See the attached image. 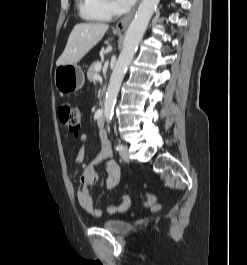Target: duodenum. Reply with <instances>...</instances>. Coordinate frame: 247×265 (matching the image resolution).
Instances as JSON below:
<instances>
[{
  "label": "duodenum",
  "instance_id": "410a0bca",
  "mask_svg": "<svg viewBox=\"0 0 247 265\" xmlns=\"http://www.w3.org/2000/svg\"><path fill=\"white\" fill-rule=\"evenodd\" d=\"M105 115L103 112H100L97 117V124L98 126L102 127L105 124Z\"/></svg>",
  "mask_w": 247,
  "mask_h": 265
}]
</instances>
